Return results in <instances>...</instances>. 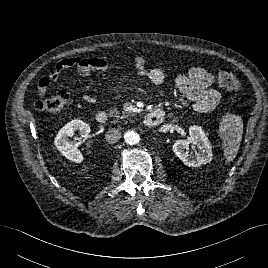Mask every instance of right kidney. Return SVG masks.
<instances>
[{
	"instance_id": "obj_1",
	"label": "right kidney",
	"mask_w": 268,
	"mask_h": 268,
	"mask_svg": "<svg viewBox=\"0 0 268 268\" xmlns=\"http://www.w3.org/2000/svg\"><path fill=\"white\" fill-rule=\"evenodd\" d=\"M79 130L81 137L78 143H73L69 140ZM90 133V126L81 120H72L64 125L55 137L54 144L57 149L68 160L76 163H81L84 159L82 153L78 149V145L85 141Z\"/></svg>"
}]
</instances>
